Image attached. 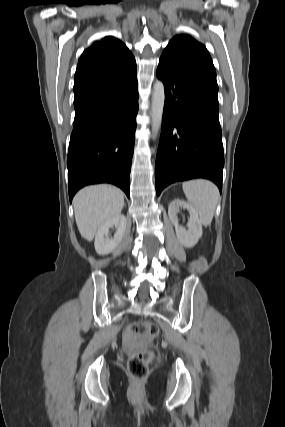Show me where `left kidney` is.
Masks as SVG:
<instances>
[{
	"label": "left kidney",
	"mask_w": 285,
	"mask_h": 427,
	"mask_svg": "<svg viewBox=\"0 0 285 427\" xmlns=\"http://www.w3.org/2000/svg\"><path fill=\"white\" fill-rule=\"evenodd\" d=\"M180 208L188 210L190 214L187 224L188 230L179 225L177 213L180 211ZM168 216L175 227L177 239L180 244L186 248L195 246L203 234L202 223L196 210L187 202L175 199L169 204Z\"/></svg>",
	"instance_id": "obj_1"
}]
</instances>
